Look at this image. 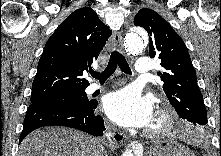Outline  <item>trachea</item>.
I'll return each instance as SVG.
<instances>
[{
    "label": "trachea",
    "mask_w": 221,
    "mask_h": 156,
    "mask_svg": "<svg viewBox=\"0 0 221 156\" xmlns=\"http://www.w3.org/2000/svg\"><path fill=\"white\" fill-rule=\"evenodd\" d=\"M117 66L121 69L122 72L126 74H132L129 64L127 63L124 56L118 51H113L111 53L107 67L103 72H91V75L98 79L99 81H105L109 78L116 70Z\"/></svg>",
    "instance_id": "3493384b"
}]
</instances>
